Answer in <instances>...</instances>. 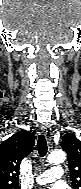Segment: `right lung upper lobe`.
Wrapping results in <instances>:
<instances>
[{
    "label": "right lung upper lobe",
    "mask_w": 81,
    "mask_h": 189,
    "mask_svg": "<svg viewBox=\"0 0 81 189\" xmlns=\"http://www.w3.org/2000/svg\"><path fill=\"white\" fill-rule=\"evenodd\" d=\"M34 135L20 131L0 144V188L18 186L19 166L34 146Z\"/></svg>",
    "instance_id": "cb5924a9"
}]
</instances>
